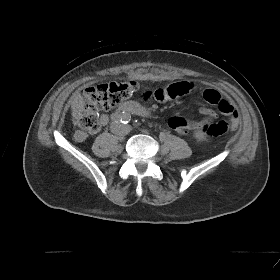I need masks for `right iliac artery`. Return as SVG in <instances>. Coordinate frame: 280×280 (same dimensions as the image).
Here are the masks:
<instances>
[{"label": "right iliac artery", "instance_id": "82829eb1", "mask_svg": "<svg viewBox=\"0 0 280 280\" xmlns=\"http://www.w3.org/2000/svg\"><path fill=\"white\" fill-rule=\"evenodd\" d=\"M111 119L113 121H121L122 120V113L121 112H116L114 114L111 115Z\"/></svg>", "mask_w": 280, "mask_h": 280}]
</instances>
